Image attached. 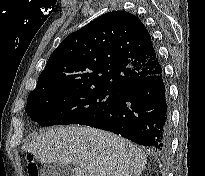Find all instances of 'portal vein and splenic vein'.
Returning <instances> with one entry per match:
<instances>
[{"instance_id":"1","label":"portal vein and splenic vein","mask_w":205,"mask_h":176,"mask_svg":"<svg viewBox=\"0 0 205 176\" xmlns=\"http://www.w3.org/2000/svg\"><path fill=\"white\" fill-rule=\"evenodd\" d=\"M79 165H80L81 167H85V166H86V163H85V162H80Z\"/></svg>"}]
</instances>
